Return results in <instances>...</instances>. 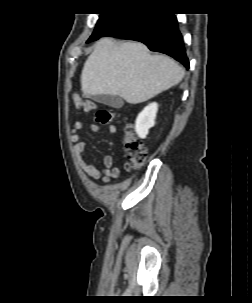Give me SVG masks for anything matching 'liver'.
<instances>
[{"mask_svg":"<svg viewBox=\"0 0 252 303\" xmlns=\"http://www.w3.org/2000/svg\"><path fill=\"white\" fill-rule=\"evenodd\" d=\"M184 74L174 60L151 55L142 43L102 38L84 64L81 89L86 97L118 95L138 104L177 85Z\"/></svg>","mask_w":252,"mask_h":303,"instance_id":"6515ba94","label":"liver"}]
</instances>
